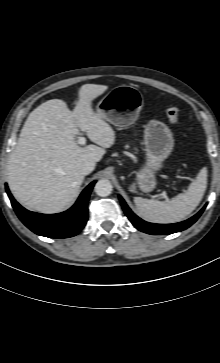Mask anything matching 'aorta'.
<instances>
[{
    "label": "aorta",
    "instance_id": "aorta-1",
    "mask_svg": "<svg viewBox=\"0 0 220 363\" xmlns=\"http://www.w3.org/2000/svg\"><path fill=\"white\" fill-rule=\"evenodd\" d=\"M112 184L107 179H100L95 184V193L100 197H106L112 193Z\"/></svg>",
    "mask_w": 220,
    "mask_h": 363
}]
</instances>
